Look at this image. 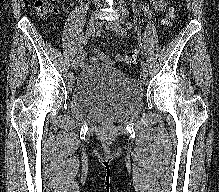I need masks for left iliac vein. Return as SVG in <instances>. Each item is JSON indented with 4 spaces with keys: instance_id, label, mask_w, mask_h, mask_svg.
I'll return each instance as SVG.
<instances>
[{
    "instance_id": "4c4485c4",
    "label": "left iliac vein",
    "mask_w": 219,
    "mask_h": 192,
    "mask_svg": "<svg viewBox=\"0 0 219 192\" xmlns=\"http://www.w3.org/2000/svg\"><path fill=\"white\" fill-rule=\"evenodd\" d=\"M108 26L114 30L117 34H121V28H122V23L120 20H113L108 23ZM122 35V34H121ZM140 76L142 77V82L146 84L148 82L147 76H148V70L145 66H141L140 69Z\"/></svg>"
}]
</instances>
